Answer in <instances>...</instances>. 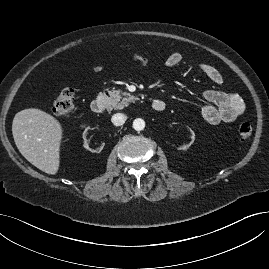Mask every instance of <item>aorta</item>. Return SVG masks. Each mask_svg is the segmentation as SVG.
Segmentation results:
<instances>
[{"mask_svg": "<svg viewBox=\"0 0 269 269\" xmlns=\"http://www.w3.org/2000/svg\"><path fill=\"white\" fill-rule=\"evenodd\" d=\"M133 128L136 131H142L145 128V122L141 118H137L133 121Z\"/></svg>", "mask_w": 269, "mask_h": 269, "instance_id": "1", "label": "aorta"}]
</instances>
